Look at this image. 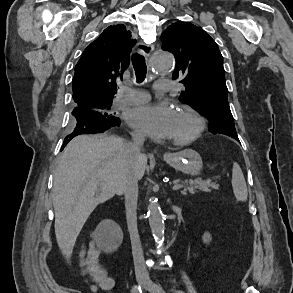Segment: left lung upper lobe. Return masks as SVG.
I'll return each instance as SVG.
<instances>
[{"label": "left lung upper lobe", "mask_w": 293, "mask_h": 293, "mask_svg": "<svg viewBox=\"0 0 293 293\" xmlns=\"http://www.w3.org/2000/svg\"><path fill=\"white\" fill-rule=\"evenodd\" d=\"M160 39L162 49L176 59L173 79L185 86L180 101L205 114L211 132L236 135L223 57L216 42L200 27L181 21L168 26Z\"/></svg>", "instance_id": "obj_1"}]
</instances>
